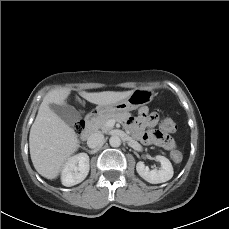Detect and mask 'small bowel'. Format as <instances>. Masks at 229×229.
Returning a JSON list of instances; mask_svg holds the SVG:
<instances>
[{
  "instance_id": "c3829d8e",
  "label": "small bowel",
  "mask_w": 229,
  "mask_h": 229,
  "mask_svg": "<svg viewBox=\"0 0 229 229\" xmlns=\"http://www.w3.org/2000/svg\"><path fill=\"white\" fill-rule=\"evenodd\" d=\"M158 115L149 111L148 107H141L135 117L128 120L127 129L134 137L144 145H154L157 143L151 129L158 122Z\"/></svg>"
}]
</instances>
